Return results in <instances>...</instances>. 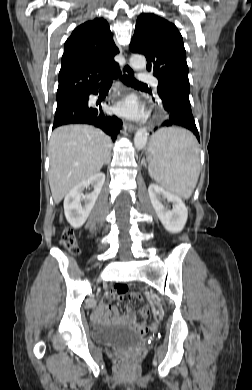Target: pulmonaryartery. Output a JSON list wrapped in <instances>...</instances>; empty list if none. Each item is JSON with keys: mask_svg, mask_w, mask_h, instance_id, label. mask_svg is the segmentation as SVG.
Wrapping results in <instances>:
<instances>
[{"mask_svg": "<svg viewBox=\"0 0 252 390\" xmlns=\"http://www.w3.org/2000/svg\"><path fill=\"white\" fill-rule=\"evenodd\" d=\"M139 80L140 81H143V82H151L152 85L157 88L158 86V81L152 77L151 75L147 74V73H142V74H139Z\"/></svg>", "mask_w": 252, "mask_h": 390, "instance_id": "1", "label": "pulmonary artery"}]
</instances>
